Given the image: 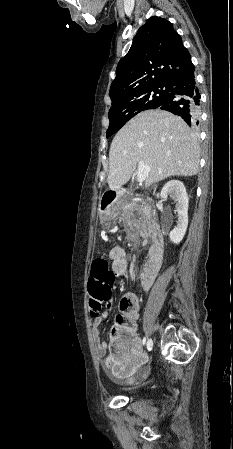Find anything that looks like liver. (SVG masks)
I'll return each instance as SVG.
<instances>
[{
    "mask_svg": "<svg viewBox=\"0 0 233 449\" xmlns=\"http://www.w3.org/2000/svg\"><path fill=\"white\" fill-rule=\"evenodd\" d=\"M199 159L197 136L181 117L159 109L143 111L115 135L107 183L113 191L120 189L139 161L150 166L146 187L171 176H193Z\"/></svg>",
    "mask_w": 233,
    "mask_h": 449,
    "instance_id": "1",
    "label": "liver"
}]
</instances>
